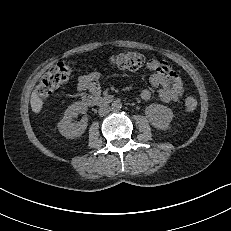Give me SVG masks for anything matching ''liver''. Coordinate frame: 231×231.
Here are the masks:
<instances>
[{"label": "liver", "instance_id": "obj_1", "mask_svg": "<svg viewBox=\"0 0 231 231\" xmlns=\"http://www.w3.org/2000/svg\"><path fill=\"white\" fill-rule=\"evenodd\" d=\"M30 104H31V108H32L34 113H39L43 107L44 102L39 97L36 90H34L31 94Z\"/></svg>", "mask_w": 231, "mask_h": 231}]
</instances>
